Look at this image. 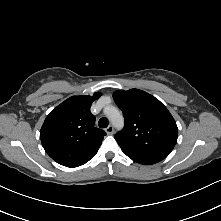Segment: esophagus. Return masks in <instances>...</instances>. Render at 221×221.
Segmentation results:
<instances>
[{
	"instance_id": "esophagus-1",
	"label": "esophagus",
	"mask_w": 221,
	"mask_h": 221,
	"mask_svg": "<svg viewBox=\"0 0 221 221\" xmlns=\"http://www.w3.org/2000/svg\"><path fill=\"white\" fill-rule=\"evenodd\" d=\"M105 131L108 135H112L114 133V127L112 125H109Z\"/></svg>"
}]
</instances>
